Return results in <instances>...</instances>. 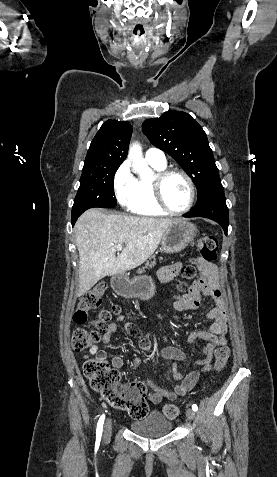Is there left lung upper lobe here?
Instances as JSON below:
<instances>
[{
  "mask_svg": "<svg viewBox=\"0 0 277 477\" xmlns=\"http://www.w3.org/2000/svg\"><path fill=\"white\" fill-rule=\"evenodd\" d=\"M142 129L154 146L173 157L192 178L198 191L196 205L221 184L207 136L189 114L170 110L144 121Z\"/></svg>",
  "mask_w": 277,
  "mask_h": 477,
  "instance_id": "5c2ea615",
  "label": "left lung upper lobe"
}]
</instances>
